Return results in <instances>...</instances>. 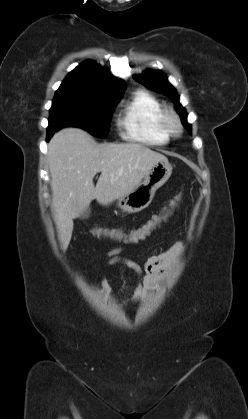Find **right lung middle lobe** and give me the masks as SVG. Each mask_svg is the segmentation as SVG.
<instances>
[{
  "instance_id": "obj_1",
  "label": "right lung middle lobe",
  "mask_w": 248,
  "mask_h": 419,
  "mask_svg": "<svg viewBox=\"0 0 248 419\" xmlns=\"http://www.w3.org/2000/svg\"><path fill=\"white\" fill-rule=\"evenodd\" d=\"M120 97L101 98L73 92L57 91L52 102L47 133L64 126H75L98 137L108 134V122Z\"/></svg>"
}]
</instances>
